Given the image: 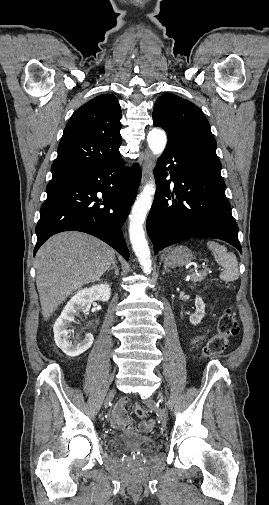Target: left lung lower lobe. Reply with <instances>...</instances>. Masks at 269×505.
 <instances>
[{"label":"left lung lower lobe","mask_w":269,"mask_h":505,"mask_svg":"<svg viewBox=\"0 0 269 505\" xmlns=\"http://www.w3.org/2000/svg\"><path fill=\"white\" fill-rule=\"evenodd\" d=\"M220 171L215 151L180 136H168L155 169L156 194L146 221L155 254L196 237L221 239L242 252Z\"/></svg>","instance_id":"1"}]
</instances>
